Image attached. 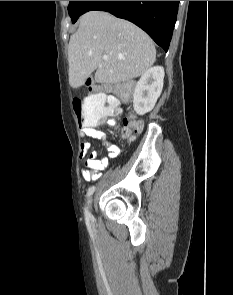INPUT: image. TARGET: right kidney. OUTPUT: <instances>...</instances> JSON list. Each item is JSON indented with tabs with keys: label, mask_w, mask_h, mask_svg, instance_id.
<instances>
[{
	"label": "right kidney",
	"mask_w": 233,
	"mask_h": 295,
	"mask_svg": "<svg viewBox=\"0 0 233 295\" xmlns=\"http://www.w3.org/2000/svg\"><path fill=\"white\" fill-rule=\"evenodd\" d=\"M164 68H149L136 83L133 93V108L138 115L150 112L163 88Z\"/></svg>",
	"instance_id": "obj_1"
}]
</instances>
